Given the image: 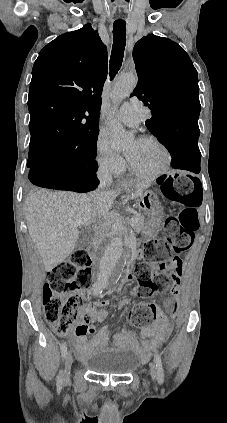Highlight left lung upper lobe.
Listing matches in <instances>:
<instances>
[{
  "mask_svg": "<svg viewBox=\"0 0 227 423\" xmlns=\"http://www.w3.org/2000/svg\"><path fill=\"white\" fill-rule=\"evenodd\" d=\"M138 84L136 96L150 108L147 128L159 140L198 130L201 110L197 71L188 54L174 41L147 35L133 49Z\"/></svg>",
  "mask_w": 227,
  "mask_h": 423,
  "instance_id": "obj_1",
  "label": "left lung upper lobe"
}]
</instances>
